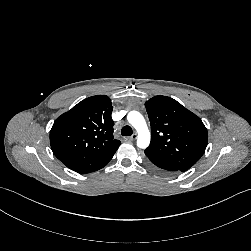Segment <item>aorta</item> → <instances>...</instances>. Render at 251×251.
Masks as SVG:
<instances>
[{
  "instance_id": "aorta-1",
  "label": "aorta",
  "mask_w": 251,
  "mask_h": 251,
  "mask_svg": "<svg viewBox=\"0 0 251 251\" xmlns=\"http://www.w3.org/2000/svg\"><path fill=\"white\" fill-rule=\"evenodd\" d=\"M127 120L138 133L137 146L141 149L147 148L150 143V132L142 114L138 111H131L127 115Z\"/></svg>"
}]
</instances>
